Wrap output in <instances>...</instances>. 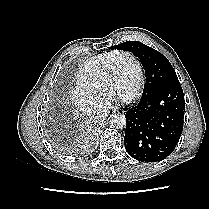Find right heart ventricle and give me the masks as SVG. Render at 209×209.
Segmentation results:
<instances>
[{
  "label": "right heart ventricle",
  "mask_w": 209,
  "mask_h": 209,
  "mask_svg": "<svg viewBox=\"0 0 209 209\" xmlns=\"http://www.w3.org/2000/svg\"><path fill=\"white\" fill-rule=\"evenodd\" d=\"M115 53L116 51L104 52L87 60L77 72L76 80L78 86L102 95L104 71Z\"/></svg>",
  "instance_id": "obj_1"
}]
</instances>
